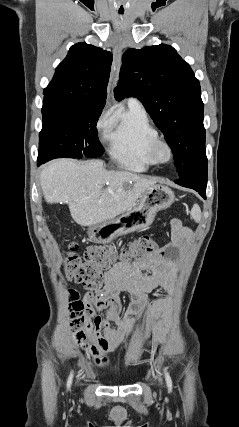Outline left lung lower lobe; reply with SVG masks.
<instances>
[{"label": "left lung lower lobe", "instance_id": "1", "mask_svg": "<svg viewBox=\"0 0 239 427\" xmlns=\"http://www.w3.org/2000/svg\"><path fill=\"white\" fill-rule=\"evenodd\" d=\"M175 183L183 187L194 189L204 199H206L205 191L207 186V162L198 166L188 175L179 177L175 180Z\"/></svg>", "mask_w": 239, "mask_h": 427}]
</instances>
